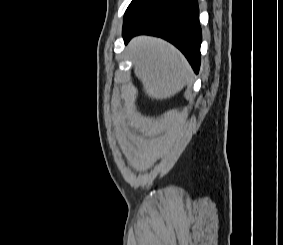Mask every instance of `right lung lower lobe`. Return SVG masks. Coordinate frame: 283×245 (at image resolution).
I'll return each instance as SVG.
<instances>
[{
	"instance_id": "98d812e1",
	"label": "right lung lower lobe",
	"mask_w": 283,
	"mask_h": 245,
	"mask_svg": "<svg viewBox=\"0 0 283 245\" xmlns=\"http://www.w3.org/2000/svg\"><path fill=\"white\" fill-rule=\"evenodd\" d=\"M139 34L154 35L171 42L198 73L202 35L197 0H152L124 22L123 38L126 44Z\"/></svg>"
}]
</instances>
